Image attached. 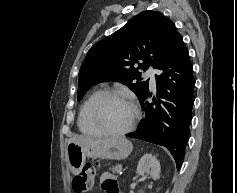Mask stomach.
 <instances>
[{
  "label": "stomach",
  "mask_w": 237,
  "mask_h": 193,
  "mask_svg": "<svg viewBox=\"0 0 237 193\" xmlns=\"http://www.w3.org/2000/svg\"><path fill=\"white\" fill-rule=\"evenodd\" d=\"M132 143L124 137L110 138L99 145H78L69 143L66 156L73 174L79 173L85 165L86 158L122 160L132 152Z\"/></svg>",
  "instance_id": "1"
}]
</instances>
